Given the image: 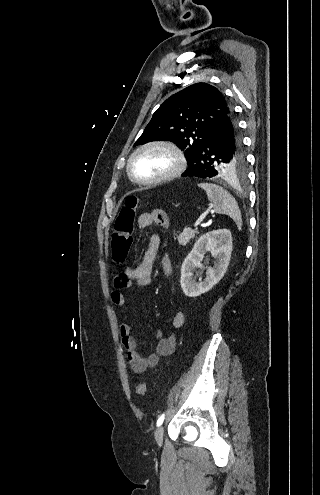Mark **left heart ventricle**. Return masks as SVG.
Here are the masks:
<instances>
[{
    "label": "left heart ventricle",
    "mask_w": 320,
    "mask_h": 495,
    "mask_svg": "<svg viewBox=\"0 0 320 495\" xmlns=\"http://www.w3.org/2000/svg\"><path fill=\"white\" fill-rule=\"evenodd\" d=\"M174 167L172 154L164 149H151L138 154L132 170L140 179H151L169 172Z\"/></svg>",
    "instance_id": "obj_1"
}]
</instances>
